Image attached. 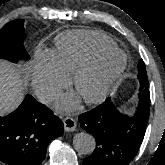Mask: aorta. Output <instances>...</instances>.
Returning <instances> with one entry per match:
<instances>
[{
	"label": "aorta",
	"instance_id": "1",
	"mask_svg": "<svg viewBox=\"0 0 165 165\" xmlns=\"http://www.w3.org/2000/svg\"><path fill=\"white\" fill-rule=\"evenodd\" d=\"M73 145L78 153L88 155L94 151L96 141L92 135L86 132H81L74 136Z\"/></svg>",
	"mask_w": 165,
	"mask_h": 165
}]
</instances>
